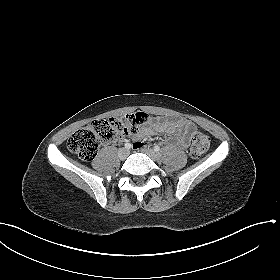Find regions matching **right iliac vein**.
<instances>
[{
  "mask_svg": "<svg viewBox=\"0 0 280 280\" xmlns=\"http://www.w3.org/2000/svg\"><path fill=\"white\" fill-rule=\"evenodd\" d=\"M128 155H129V150L125 148L120 149L118 152V156L121 160H125L128 157Z\"/></svg>",
  "mask_w": 280,
  "mask_h": 280,
  "instance_id": "63e3f726",
  "label": "right iliac vein"
}]
</instances>
